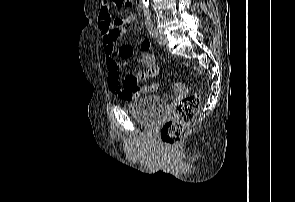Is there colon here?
I'll use <instances>...</instances> for the list:
<instances>
[{
    "label": "colon",
    "mask_w": 295,
    "mask_h": 202,
    "mask_svg": "<svg viewBox=\"0 0 295 202\" xmlns=\"http://www.w3.org/2000/svg\"><path fill=\"white\" fill-rule=\"evenodd\" d=\"M116 6L131 7L133 0H112ZM138 65L145 70H136V75L158 74L157 57L154 52H141ZM142 79H135L134 76L125 77L123 87L125 90H159L157 82H145ZM174 88L177 92H183L184 85L176 82ZM201 104V95L199 93L191 94L190 98H182L179 101V107L174 108L173 117L167 120L161 127L160 138L168 146H176L187 135L190 123L195 118Z\"/></svg>",
    "instance_id": "obj_1"
}]
</instances>
